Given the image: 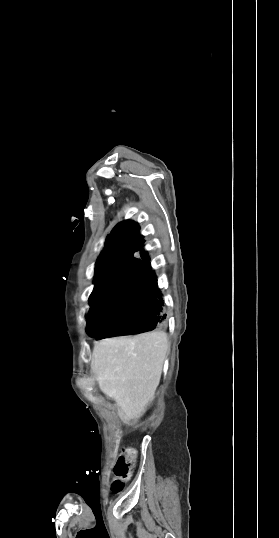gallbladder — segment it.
<instances>
[{
	"label": "gallbladder",
	"mask_w": 279,
	"mask_h": 538,
	"mask_svg": "<svg viewBox=\"0 0 279 538\" xmlns=\"http://www.w3.org/2000/svg\"><path fill=\"white\" fill-rule=\"evenodd\" d=\"M108 409H109L110 411H113V410L115 409V406H114L113 404H110V405L108 406Z\"/></svg>",
	"instance_id": "gallbladder-1"
}]
</instances>
